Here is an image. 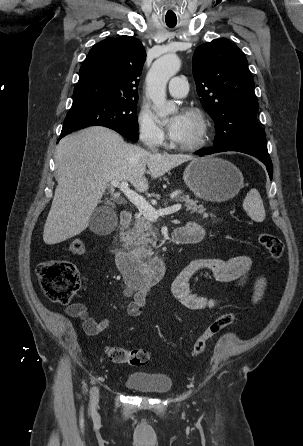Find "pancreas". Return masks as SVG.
<instances>
[{
    "mask_svg": "<svg viewBox=\"0 0 303 446\" xmlns=\"http://www.w3.org/2000/svg\"><path fill=\"white\" fill-rule=\"evenodd\" d=\"M176 201L185 202L187 211L203 214V218L207 217L203 205H198V201L190 199L189 195L180 196L176 198ZM156 234L157 230L153 228L151 222L144 216L137 215L133 228H129L125 233L124 247L132 250V254L140 258L151 257L152 247L156 245Z\"/></svg>",
    "mask_w": 303,
    "mask_h": 446,
    "instance_id": "obj_1",
    "label": "pancreas"
}]
</instances>
